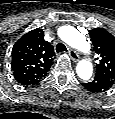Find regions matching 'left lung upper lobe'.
Here are the masks:
<instances>
[{"mask_svg": "<svg viewBox=\"0 0 115 119\" xmlns=\"http://www.w3.org/2000/svg\"><path fill=\"white\" fill-rule=\"evenodd\" d=\"M94 51L99 59L95 74L106 77L115 83V37L104 28H94L89 31Z\"/></svg>", "mask_w": 115, "mask_h": 119, "instance_id": "5c2ea615", "label": "left lung upper lobe"}]
</instances>
